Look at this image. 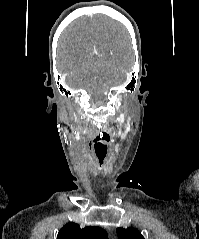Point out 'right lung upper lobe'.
Here are the masks:
<instances>
[{
  "label": "right lung upper lobe",
  "instance_id": "1",
  "mask_svg": "<svg viewBox=\"0 0 199 239\" xmlns=\"http://www.w3.org/2000/svg\"><path fill=\"white\" fill-rule=\"evenodd\" d=\"M57 239H108V235L99 227L81 229L76 223H68L60 229Z\"/></svg>",
  "mask_w": 199,
  "mask_h": 239
}]
</instances>
